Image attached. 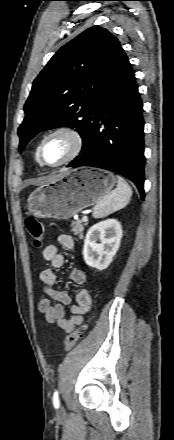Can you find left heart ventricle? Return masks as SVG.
Here are the masks:
<instances>
[{"mask_svg":"<svg viewBox=\"0 0 174 440\" xmlns=\"http://www.w3.org/2000/svg\"><path fill=\"white\" fill-rule=\"evenodd\" d=\"M70 150V139L65 135H55L44 143L42 159L47 164H57L69 154Z\"/></svg>","mask_w":174,"mask_h":440,"instance_id":"left-heart-ventricle-1","label":"left heart ventricle"}]
</instances>
